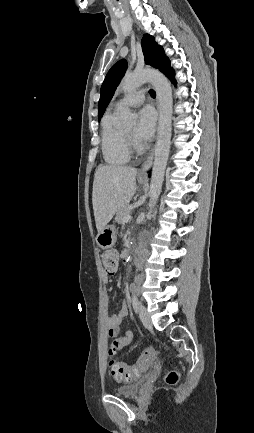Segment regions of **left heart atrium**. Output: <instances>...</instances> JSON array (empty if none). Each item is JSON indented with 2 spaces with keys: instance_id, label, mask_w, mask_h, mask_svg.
Here are the masks:
<instances>
[{
  "instance_id": "obj_1",
  "label": "left heart atrium",
  "mask_w": 254,
  "mask_h": 433,
  "mask_svg": "<svg viewBox=\"0 0 254 433\" xmlns=\"http://www.w3.org/2000/svg\"><path fill=\"white\" fill-rule=\"evenodd\" d=\"M156 115L150 107H145L138 113L137 126L134 136L139 142L150 139L155 130Z\"/></svg>"
}]
</instances>
